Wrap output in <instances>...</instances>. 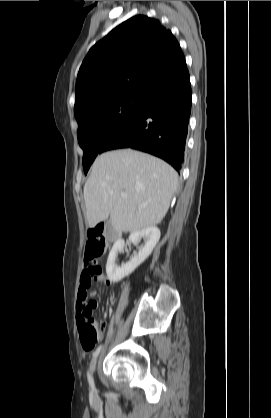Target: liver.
Returning <instances> with one entry per match:
<instances>
[{
  "label": "liver",
  "instance_id": "liver-1",
  "mask_svg": "<svg viewBox=\"0 0 271 418\" xmlns=\"http://www.w3.org/2000/svg\"><path fill=\"white\" fill-rule=\"evenodd\" d=\"M177 187V172L159 158L132 149L103 153L84 185L88 226L108 217L118 232L155 226L165 217Z\"/></svg>",
  "mask_w": 271,
  "mask_h": 418
}]
</instances>
